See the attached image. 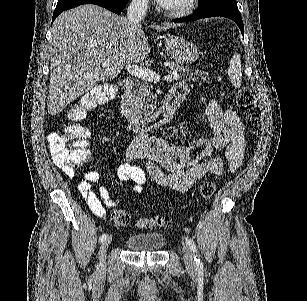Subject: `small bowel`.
Instances as JSON below:
<instances>
[{
  "label": "small bowel",
  "instance_id": "1",
  "mask_svg": "<svg viewBox=\"0 0 307 301\" xmlns=\"http://www.w3.org/2000/svg\"><path fill=\"white\" fill-rule=\"evenodd\" d=\"M172 90L184 97L188 92L183 83ZM206 112L213 132L211 139H198L186 147H171L160 139L140 137L128 147L126 156L128 160L149 158L153 162L149 167L150 175L147 176L141 167L129 162L117 168L118 179L134 182L136 194L141 193L150 181L185 192L204 176L222 173L224 162L212 157L215 151L220 150L226 151L228 170H236L243 162L247 146L245 125L233 109H223L216 101L208 104ZM59 166L68 175H74L70 168ZM99 180L98 171H89L79 183L78 190L89 209L96 216L103 217L105 208L115 206L116 201L110 199L105 186L94 189L93 185Z\"/></svg>",
  "mask_w": 307,
  "mask_h": 301
}]
</instances>
